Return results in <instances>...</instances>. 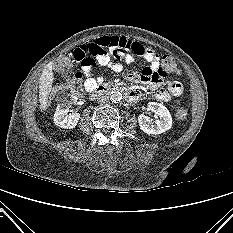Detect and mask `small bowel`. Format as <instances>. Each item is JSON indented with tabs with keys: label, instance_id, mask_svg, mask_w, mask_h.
Listing matches in <instances>:
<instances>
[{
	"label": "small bowel",
	"instance_id": "obj_1",
	"mask_svg": "<svg viewBox=\"0 0 233 233\" xmlns=\"http://www.w3.org/2000/svg\"><path fill=\"white\" fill-rule=\"evenodd\" d=\"M133 54L143 58L149 64L141 72L129 71L127 73L128 80L147 84L155 91L156 99L162 102H167L171 97L179 96L182 93L183 88L179 81L163 80L160 73L161 58L159 54L137 41L117 36L101 37L78 46L73 52V57L81 66L85 77V88L90 92L102 81L101 77L93 76V69L97 63L119 73L123 70L124 63L130 64L134 61ZM132 93L134 98L131 102H136L143 96L139 91Z\"/></svg>",
	"mask_w": 233,
	"mask_h": 233
}]
</instances>
